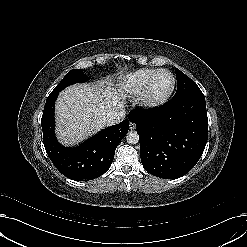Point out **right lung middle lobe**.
<instances>
[{"label":"right lung middle lobe","instance_id":"1","mask_svg":"<svg viewBox=\"0 0 247 247\" xmlns=\"http://www.w3.org/2000/svg\"><path fill=\"white\" fill-rule=\"evenodd\" d=\"M85 78L86 77L84 76L82 69H73L65 75V77L61 80V82L54 88L52 93H59L65 87L71 84L83 82Z\"/></svg>","mask_w":247,"mask_h":247}]
</instances>
